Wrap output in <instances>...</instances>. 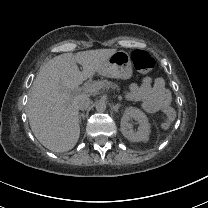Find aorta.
Instances as JSON below:
<instances>
[{"label":"aorta","instance_id":"obj_1","mask_svg":"<svg viewBox=\"0 0 208 208\" xmlns=\"http://www.w3.org/2000/svg\"><path fill=\"white\" fill-rule=\"evenodd\" d=\"M105 109H106V105L102 102H99L96 105V110L99 111V112H103V111H105Z\"/></svg>","mask_w":208,"mask_h":208}]
</instances>
